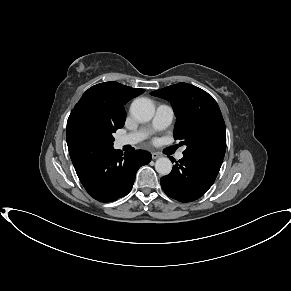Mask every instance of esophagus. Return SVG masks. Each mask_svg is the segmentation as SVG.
<instances>
[{"label":"esophagus","instance_id":"1","mask_svg":"<svg viewBox=\"0 0 291 291\" xmlns=\"http://www.w3.org/2000/svg\"><path fill=\"white\" fill-rule=\"evenodd\" d=\"M159 157H161V154H160V153L152 152V158H153V159H157V158H159Z\"/></svg>","mask_w":291,"mask_h":291}]
</instances>
